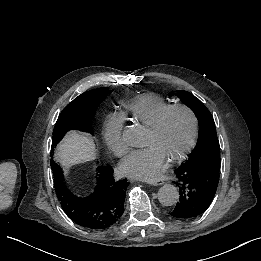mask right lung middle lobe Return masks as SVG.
<instances>
[{
    "label": "right lung middle lobe",
    "instance_id": "right-lung-middle-lobe-1",
    "mask_svg": "<svg viewBox=\"0 0 261 261\" xmlns=\"http://www.w3.org/2000/svg\"><path fill=\"white\" fill-rule=\"evenodd\" d=\"M111 91L98 88L85 92L70 102L61 112L54 130L52 146L55 147L70 130L86 131L93 135L91 118L95 115L98 105ZM51 168L54 177L62 173L61 168L52 160Z\"/></svg>",
    "mask_w": 261,
    "mask_h": 261
}]
</instances>
